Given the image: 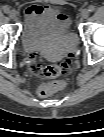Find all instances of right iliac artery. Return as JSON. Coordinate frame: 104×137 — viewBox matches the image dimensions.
Returning a JSON list of instances; mask_svg holds the SVG:
<instances>
[{
	"label": "right iliac artery",
	"mask_w": 104,
	"mask_h": 137,
	"mask_svg": "<svg viewBox=\"0 0 104 137\" xmlns=\"http://www.w3.org/2000/svg\"><path fill=\"white\" fill-rule=\"evenodd\" d=\"M3 11H4L5 13H8V12H9V7L5 6V7L3 8Z\"/></svg>",
	"instance_id": "1"
}]
</instances>
